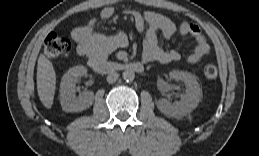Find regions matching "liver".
I'll list each match as a JSON object with an SVG mask.
<instances>
[{"instance_id": "liver-1", "label": "liver", "mask_w": 259, "mask_h": 156, "mask_svg": "<svg viewBox=\"0 0 259 156\" xmlns=\"http://www.w3.org/2000/svg\"><path fill=\"white\" fill-rule=\"evenodd\" d=\"M56 89V74L53 64L41 54L37 64V91L40 101L46 108L53 105Z\"/></svg>"}]
</instances>
